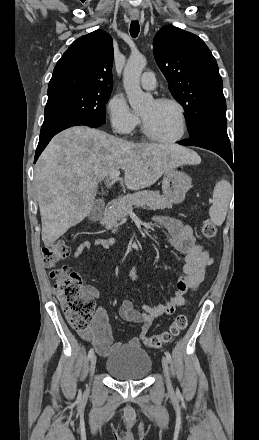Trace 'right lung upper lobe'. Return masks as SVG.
<instances>
[{"instance_id":"1","label":"right lung upper lobe","mask_w":259,"mask_h":440,"mask_svg":"<svg viewBox=\"0 0 259 440\" xmlns=\"http://www.w3.org/2000/svg\"><path fill=\"white\" fill-rule=\"evenodd\" d=\"M113 41L103 30L75 40L57 62L48 94L70 89L112 91Z\"/></svg>"}]
</instances>
